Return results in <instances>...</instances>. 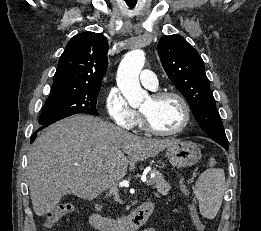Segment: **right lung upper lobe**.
Wrapping results in <instances>:
<instances>
[{"label": "right lung upper lobe", "mask_w": 261, "mask_h": 231, "mask_svg": "<svg viewBox=\"0 0 261 231\" xmlns=\"http://www.w3.org/2000/svg\"><path fill=\"white\" fill-rule=\"evenodd\" d=\"M107 51L108 41L101 33L74 36L59 59L52 89L101 88Z\"/></svg>", "instance_id": "1"}]
</instances>
